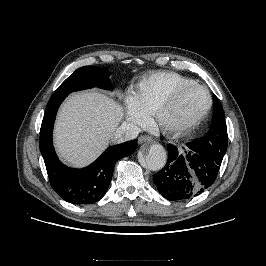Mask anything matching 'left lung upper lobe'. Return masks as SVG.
Listing matches in <instances>:
<instances>
[{"instance_id":"1","label":"left lung upper lobe","mask_w":266,"mask_h":266,"mask_svg":"<svg viewBox=\"0 0 266 266\" xmlns=\"http://www.w3.org/2000/svg\"><path fill=\"white\" fill-rule=\"evenodd\" d=\"M227 139V128L223 108L219 99L214 95L211 130L207 133L206 136L200 139H196V141L202 146H205L207 149H209L210 146L214 145L217 141L227 143Z\"/></svg>"}]
</instances>
